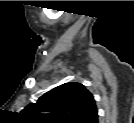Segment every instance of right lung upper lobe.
I'll list each match as a JSON object with an SVG mask.
<instances>
[{
    "label": "right lung upper lobe",
    "mask_w": 134,
    "mask_h": 123,
    "mask_svg": "<svg viewBox=\"0 0 134 123\" xmlns=\"http://www.w3.org/2000/svg\"><path fill=\"white\" fill-rule=\"evenodd\" d=\"M33 123H98L93 95L80 83L62 84L22 110Z\"/></svg>",
    "instance_id": "1"
}]
</instances>
